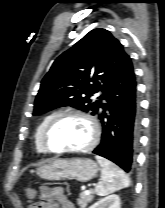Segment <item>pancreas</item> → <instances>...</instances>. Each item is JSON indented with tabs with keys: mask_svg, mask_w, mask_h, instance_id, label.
<instances>
[{
	"mask_svg": "<svg viewBox=\"0 0 165 208\" xmlns=\"http://www.w3.org/2000/svg\"><path fill=\"white\" fill-rule=\"evenodd\" d=\"M93 194L94 191H90L89 195H86L85 193H81L79 198L77 199V203L80 206V208H85L89 202L93 200Z\"/></svg>",
	"mask_w": 165,
	"mask_h": 208,
	"instance_id": "obj_1",
	"label": "pancreas"
}]
</instances>
